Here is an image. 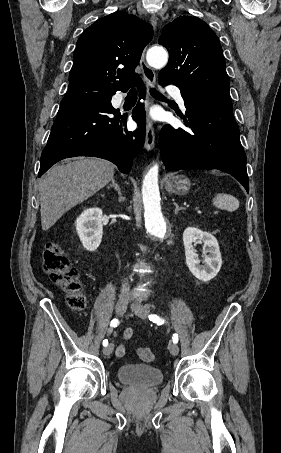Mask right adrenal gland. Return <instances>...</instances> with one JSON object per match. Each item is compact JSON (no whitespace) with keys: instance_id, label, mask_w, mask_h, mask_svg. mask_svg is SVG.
Here are the masks:
<instances>
[{"instance_id":"obj_1","label":"right adrenal gland","mask_w":281,"mask_h":453,"mask_svg":"<svg viewBox=\"0 0 281 453\" xmlns=\"http://www.w3.org/2000/svg\"><path fill=\"white\" fill-rule=\"evenodd\" d=\"M107 188H109V190H110V188H115V190H117V192L119 194V198H118L119 202H124L125 196H122L121 188H120V186H118L115 178H112L111 184H109V186H107Z\"/></svg>"}]
</instances>
